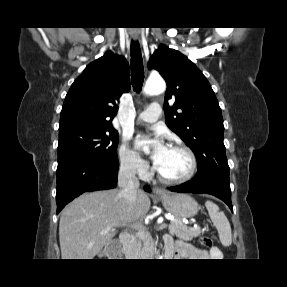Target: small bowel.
I'll return each mask as SVG.
<instances>
[{
  "instance_id": "1",
  "label": "small bowel",
  "mask_w": 287,
  "mask_h": 287,
  "mask_svg": "<svg viewBox=\"0 0 287 287\" xmlns=\"http://www.w3.org/2000/svg\"><path fill=\"white\" fill-rule=\"evenodd\" d=\"M164 242L170 255L177 259L197 260L205 259L209 256L218 257L220 255V251L217 248L211 252H207L181 240L174 243L169 236L164 238Z\"/></svg>"
}]
</instances>
